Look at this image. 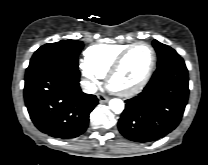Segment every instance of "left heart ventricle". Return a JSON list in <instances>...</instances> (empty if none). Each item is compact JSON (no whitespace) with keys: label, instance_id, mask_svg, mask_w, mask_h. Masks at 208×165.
I'll return each mask as SVG.
<instances>
[{"label":"left heart ventricle","instance_id":"left-heart-ventricle-1","mask_svg":"<svg viewBox=\"0 0 208 165\" xmlns=\"http://www.w3.org/2000/svg\"><path fill=\"white\" fill-rule=\"evenodd\" d=\"M151 61V51L145 46L135 48L126 58L114 78L115 85L130 87L138 83L146 73Z\"/></svg>","mask_w":208,"mask_h":165}]
</instances>
